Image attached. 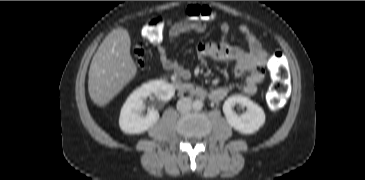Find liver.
Instances as JSON below:
<instances>
[{"mask_svg": "<svg viewBox=\"0 0 365 180\" xmlns=\"http://www.w3.org/2000/svg\"><path fill=\"white\" fill-rule=\"evenodd\" d=\"M131 40L126 29L110 32L93 56L89 69L88 91L98 106L107 105L136 75L130 54Z\"/></svg>", "mask_w": 365, "mask_h": 180, "instance_id": "1", "label": "liver"}]
</instances>
